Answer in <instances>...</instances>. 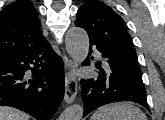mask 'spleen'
<instances>
[{
	"label": "spleen",
	"mask_w": 165,
	"mask_h": 120,
	"mask_svg": "<svg viewBox=\"0 0 165 120\" xmlns=\"http://www.w3.org/2000/svg\"><path fill=\"white\" fill-rule=\"evenodd\" d=\"M91 120H147L145 114L130 103H112L100 107Z\"/></svg>",
	"instance_id": "3e777b00"
}]
</instances>
